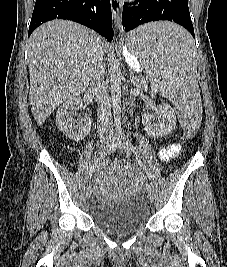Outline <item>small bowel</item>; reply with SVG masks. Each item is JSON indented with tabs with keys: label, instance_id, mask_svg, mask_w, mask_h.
Here are the masks:
<instances>
[{
	"label": "small bowel",
	"instance_id": "c3829d8e",
	"mask_svg": "<svg viewBox=\"0 0 227 267\" xmlns=\"http://www.w3.org/2000/svg\"><path fill=\"white\" fill-rule=\"evenodd\" d=\"M179 152H180L179 144L173 143L160 151V157L163 161H169L175 158L179 154ZM95 190L97 194L104 196V195L114 194L117 189L115 187L105 188L102 187L101 185H98Z\"/></svg>",
	"mask_w": 227,
	"mask_h": 267
}]
</instances>
